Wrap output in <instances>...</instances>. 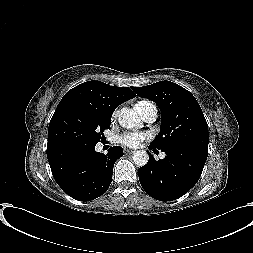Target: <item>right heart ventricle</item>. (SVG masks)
<instances>
[{"mask_svg": "<svg viewBox=\"0 0 253 253\" xmlns=\"http://www.w3.org/2000/svg\"><path fill=\"white\" fill-rule=\"evenodd\" d=\"M141 102H143V101L138 102V103L136 104V106H137L138 104H140Z\"/></svg>", "mask_w": 253, "mask_h": 253, "instance_id": "right-heart-ventricle-1", "label": "right heart ventricle"}]
</instances>
